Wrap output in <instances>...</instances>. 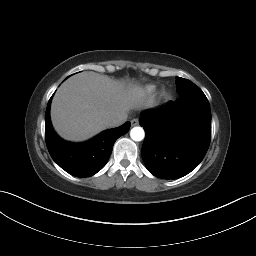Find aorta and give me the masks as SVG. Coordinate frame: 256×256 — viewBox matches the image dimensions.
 <instances>
[{"mask_svg":"<svg viewBox=\"0 0 256 256\" xmlns=\"http://www.w3.org/2000/svg\"><path fill=\"white\" fill-rule=\"evenodd\" d=\"M130 137L134 141H141L145 137V132H144L142 127L136 126V127L131 129Z\"/></svg>","mask_w":256,"mask_h":256,"instance_id":"obj_1","label":"aorta"}]
</instances>
